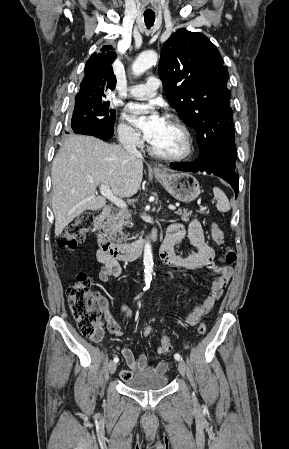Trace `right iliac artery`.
<instances>
[{
  "label": "right iliac artery",
  "mask_w": 289,
  "mask_h": 449,
  "mask_svg": "<svg viewBox=\"0 0 289 449\" xmlns=\"http://www.w3.org/2000/svg\"><path fill=\"white\" fill-rule=\"evenodd\" d=\"M139 296H140V295H138V296L136 297V299L139 298ZM113 361H114L115 363H117V362L119 361V358H118V357H114Z\"/></svg>",
  "instance_id": "1"
}]
</instances>
